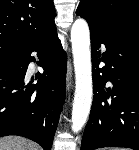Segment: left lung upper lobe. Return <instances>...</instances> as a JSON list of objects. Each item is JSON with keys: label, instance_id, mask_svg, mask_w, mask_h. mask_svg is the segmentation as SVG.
<instances>
[{"label": "left lung upper lobe", "instance_id": "left-lung-upper-lobe-1", "mask_svg": "<svg viewBox=\"0 0 139 150\" xmlns=\"http://www.w3.org/2000/svg\"><path fill=\"white\" fill-rule=\"evenodd\" d=\"M76 14L107 36L139 22V0H80Z\"/></svg>", "mask_w": 139, "mask_h": 150}]
</instances>
